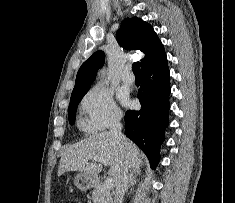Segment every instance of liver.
<instances>
[{"instance_id": "6515ba94", "label": "liver", "mask_w": 235, "mask_h": 203, "mask_svg": "<svg viewBox=\"0 0 235 203\" xmlns=\"http://www.w3.org/2000/svg\"><path fill=\"white\" fill-rule=\"evenodd\" d=\"M126 141L127 148H124L110 132H100L67 147L61 156L58 176L69 171H79L96 178L102 170V164L94 162L93 159L101 157L110 166L108 173L116 185L125 164L132 173H139L143 163L144 155L139 148L130 140Z\"/></svg>"}]
</instances>
